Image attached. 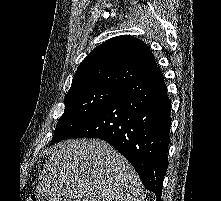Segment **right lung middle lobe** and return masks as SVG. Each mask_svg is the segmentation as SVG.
<instances>
[{"mask_svg": "<svg viewBox=\"0 0 221 201\" xmlns=\"http://www.w3.org/2000/svg\"><path fill=\"white\" fill-rule=\"evenodd\" d=\"M119 90L94 86L69 91L65 110L59 119L51 144L66 139L74 130L102 108Z\"/></svg>", "mask_w": 221, "mask_h": 201, "instance_id": "obj_1", "label": "right lung middle lobe"}]
</instances>
